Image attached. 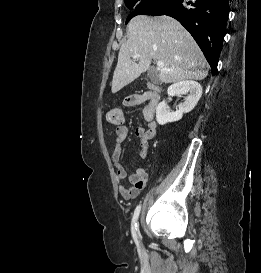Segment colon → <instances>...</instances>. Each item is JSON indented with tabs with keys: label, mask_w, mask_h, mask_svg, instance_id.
Listing matches in <instances>:
<instances>
[{
	"label": "colon",
	"mask_w": 261,
	"mask_h": 273,
	"mask_svg": "<svg viewBox=\"0 0 261 273\" xmlns=\"http://www.w3.org/2000/svg\"><path fill=\"white\" fill-rule=\"evenodd\" d=\"M107 120L111 124L119 125L123 122V112L120 108H112L107 113Z\"/></svg>",
	"instance_id": "colon-1"
}]
</instances>
